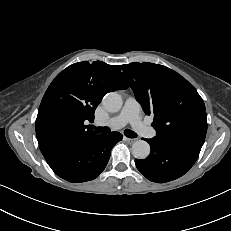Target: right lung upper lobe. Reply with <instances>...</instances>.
Returning <instances> with one entry per match:
<instances>
[{
	"label": "right lung upper lobe",
	"mask_w": 231,
	"mask_h": 231,
	"mask_svg": "<svg viewBox=\"0 0 231 231\" xmlns=\"http://www.w3.org/2000/svg\"><path fill=\"white\" fill-rule=\"evenodd\" d=\"M119 73V65L83 61L56 76L44 94L35 123L45 158L98 135L86 123L94 121V111L105 94L128 88Z\"/></svg>",
	"instance_id": "obj_1"
}]
</instances>
